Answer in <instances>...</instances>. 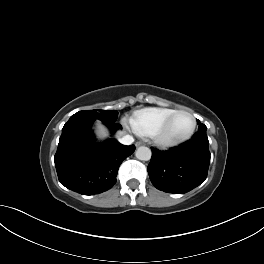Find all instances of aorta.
Wrapping results in <instances>:
<instances>
[{
  "mask_svg": "<svg viewBox=\"0 0 264 264\" xmlns=\"http://www.w3.org/2000/svg\"><path fill=\"white\" fill-rule=\"evenodd\" d=\"M151 150L148 147L141 146L136 150L135 156L141 161H148L151 159Z\"/></svg>",
  "mask_w": 264,
  "mask_h": 264,
  "instance_id": "obj_1",
  "label": "aorta"
}]
</instances>
